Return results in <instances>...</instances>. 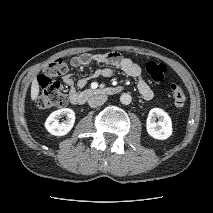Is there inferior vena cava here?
<instances>
[{"label": "inferior vena cava", "mask_w": 213, "mask_h": 213, "mask_svg": "<svg viewBox=\"0 0 213 213\" xmlns=\"http://www.w3.org/2000/svg\"><path fill=\"white\" fill-rule=\"evenodd\" d=\"M107 99H108L107 95L97 94L89 98L88 104L90 107L96 108L104 104L107 101Z\"/></svg>", "instance_id": "inferior-vena-cava-1"}]
</instances>
